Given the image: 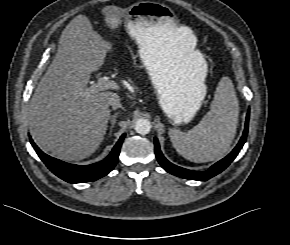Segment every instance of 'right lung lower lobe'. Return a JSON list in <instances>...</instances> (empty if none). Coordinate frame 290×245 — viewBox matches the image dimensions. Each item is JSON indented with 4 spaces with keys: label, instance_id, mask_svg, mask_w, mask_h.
Masks as SVG:
<instances>
[{
    "label": "right lung lower lobe",
    "instance_id": "1",
    "mask_svg": "<svg viewBox=\"0 0 290 245\" xmlns=\"http://www.w3.org/2000/svg\"><path fill=\"white\" fill-rule=\"evenodd\" d=\"M123 138L124 134L120 137L111 153L104 160L87 166L69 164L50 157L42 152L32 140L31 144L41 160L55 175L69 183H82L95 181L104 177L115 167L118 162Z\"/></svg>",
    "mask_w": 290,
    "mask_h": 245
}]
</instances>
